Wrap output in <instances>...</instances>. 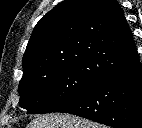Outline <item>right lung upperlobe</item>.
Wrapping results in <instances>:
<instances>
[{"mask_svg": "<svg viewBox=\"0 0 142 128\" xmlns=\"http://www.w3.org/2000/svg\"><path fill=\"white\" fill-rule=\"evenodd\" d=\"M139 60L132 32L115 0H67L36 24L23 56V78L81 65L94 78Z\"/></svg>", "mask_w": 142, "mask_h": 128, "instance_id": "1", "label": "right lung upper lobe"}]
</instances>
